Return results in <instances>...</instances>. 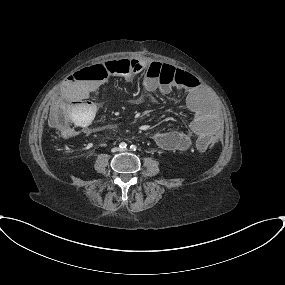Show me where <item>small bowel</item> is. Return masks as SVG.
Returning a JSON list of instances; mask_svg holds the SVG:
<instances>
[{"mask_svg": "<svg viewBox=\"0 0 285 285\" xmlns=\"http://www.w3.org/2000/svg\"><path fill=\"white\" fill-rule=\"evenodd\" d=\"M139 65L138 72H148L155 63L154 60H131ZM184 83L179 88L184 91V105L191 113L192 120L189 130H169L156 132L153 141L160 148L165 150H185L191 145L190 132L197 136L196 147L201 149V138L206 134L216 135L219 130L218 121L209 113L204 103V90L196 84V77L187 71L182 72ZM104 80H81L75 77H68L61 88V96L70 103V108L81 118H86L94 113V105L90 102V95L100 88ZM143 86L147 91L160 90L169 93L172 88L159 84L151 77L145 76ZM75 116V122L80 126L79 117ZM69 136H75L70 133Z\"/></svg>", "mask_w": 285, "mask_h": 285, "instance_id": "c3829d8e", "label": "small bowel"}]
</instances>
